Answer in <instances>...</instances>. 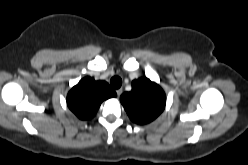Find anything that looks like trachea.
<instances>
[{
	"label": "trachea",
	"mask_w": 248,
	"mask_h": 165,
	"mask_svg": "<svg viewBox=\"0 0 248 165\" xmlns=\"http://www.w3.org/2000/svg\"><path fill=\"white\" fill-rule=\"evenodd\" d=\"M110 84L114 89H118L122 85V79L118 76H114L111 78Z\"/></svg>",
	"instance_id": "3493384b"
}]
</instances>
